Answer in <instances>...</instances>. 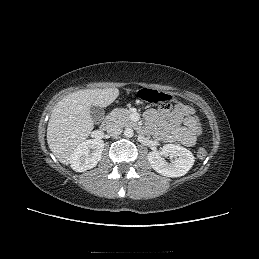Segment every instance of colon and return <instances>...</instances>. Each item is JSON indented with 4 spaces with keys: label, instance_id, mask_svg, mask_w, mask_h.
<instances>
[{
    "label": "colon",
    "instance_id": "colon-1",
    "mask_svg": "<svg viewBox=\"0 0 259 259\" xmlns=\"http://www.w3.org/2000/svg\"><path fill=\"white\" fill-rule=\"evenodd\" d=\"M139 98L149 104H168L175 100L174 96L169 93L158 91L154 89L144 88L138 92ZM177 105L183 104L182 98L176 99ZM192 125L194 126V135L197 141L203 140V134L201 132V124L199 123V117H192ZM197 156L200 159H204L207 156V151L204 148H199L197 151Z\"/></svg>",
    "mask_w": 259,
    "mask_h": 259
}]
</instances>
